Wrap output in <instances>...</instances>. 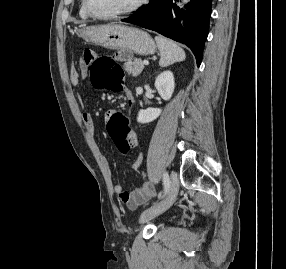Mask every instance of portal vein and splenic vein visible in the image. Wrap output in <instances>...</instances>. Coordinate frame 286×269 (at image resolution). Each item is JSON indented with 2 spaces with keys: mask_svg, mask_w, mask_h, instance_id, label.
<instances>
[{
  "mask_svg": "<svg viewBox=\"0 0 286 269\" xmlns=\"http://www.w3.org/2000/svg\"><path fill=\"white\" fill-rule=\"evenodd\" d=\"M143 64H144V65H148L149 62H148L147 60H145V61H143Z\"/></svg>",
  "mask_w": 286,
  "mask_h": 269,
  "instance_id": "18ae733b",
  "label": "portal vein and splenic vein"
}]
</instances>
